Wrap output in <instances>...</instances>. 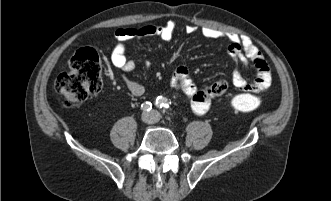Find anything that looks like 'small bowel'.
<instances>
[{"label": "small bowel", "instance_id": "small-bowel-1", "mask_svg": "<svg viewBox=\"0 0 331 201\" xmlns=\"http://www.w3.org/2000/svg\"><path fill=\"white\" fill-rule=\"evenodd\" d=\"M175 28L173 21H167L162 25L117 29L114 34L115 43L110 57L111 63L123 72L133 71L135 62L126 56V43L146 37H159L164 41H169L174 35ZM197 31L198 28L194 25L186 26V32L189 34ZM199 31L208 39L227 40L229 42L227 52L237 65L244 68L250 66L255 68L256 76L251 80L246 79L239 68L233 72L232 83L237 89L257 93L269 87L270 68L259 49L247 36L210 27H202ZM126 86L134 97H141L144 94V87L134 80L127 79ZM170 88L182 91L189 99L192 111L196 115L202 116L209 110L212 99L225 93L227 83L224 80H217L198 89L192 81L188 69L179 66L170 78Z\"/></svg>", "mask_w": 331, "mask_h": 201}]
</instances>
